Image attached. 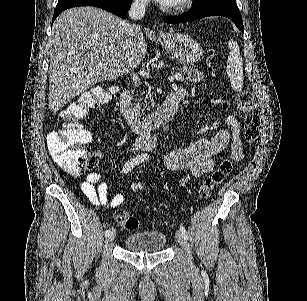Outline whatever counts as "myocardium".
<instances>
[{
  "label": "myocardium",
  "mask_w": 307,
  "mask_h": 301,
  "mask_svg": "<svg viewBox=\"0 0 307 301\" xmlns=\"http://www.w3.org/2000/svg\"><path fill=\"white\" fill-rule=\"evenodd\" d=\"M190 0H174L173 3L167 4L166 7L168 9H181L188 5ZM165 17H167V14L165 13Z\"/></svg>",
  "instance_id": "1"
}]
</instances>
